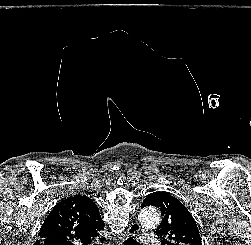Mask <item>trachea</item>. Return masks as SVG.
Segmentation results:
<instances>
[{
    "label": "trachea",
    "instance_id": "obj_1",
    "mask_svg": "<svg viewBox=\"0 0 251 245\" xmlns=\"http://www.w3.org/2000/svg\"><path fill=\"white\" fill-rule=\"evenodd\" d=\"M124 245H140L136 240L133 238L129 237L127 240L124 241Z\"/></svg>",
    "mask_w": 251,
    "mask_h": 245
}]
</instances>
